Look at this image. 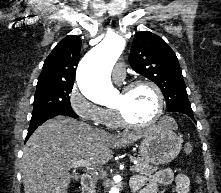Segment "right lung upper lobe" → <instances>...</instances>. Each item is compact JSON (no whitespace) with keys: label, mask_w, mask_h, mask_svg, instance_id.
<instances>
[{"label":"right lung upper lobe","mask_w":221,"mask_h":193,"mask_svg":"<svg viewBox=\"0 0 221 193\" xmlns=\"http://www.w3.org/2000/svg\"><path fill=\"white\" fill-rule=\"evenodd\" d=\"M81 44V39L76 35L61 40L46 58L37 86L74 84Z\"/></svg>","instance_id":"obj_1"}]
</instances>
